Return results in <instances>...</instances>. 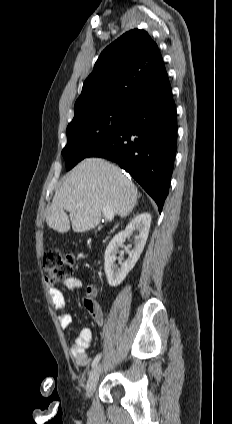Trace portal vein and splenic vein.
Returning a JSON list of instances; mask_svg holds the SVG:
<instances>
[{"instance_id": "obj_1", "label": "portal vein and splenic vein", "mask_w": 232, "mask_h": 424, "mask_svg": "<svg viewBox=\"0 0 232 424\" xmlns=\"http://www.w3.org/2000/svg\"><path fill=\"white\" fill-rule=\"evenodd\" d=\"M102 212L108 221H112L114 218L113 212L108 207H103Z\"/></svg>"}]
</instances>
